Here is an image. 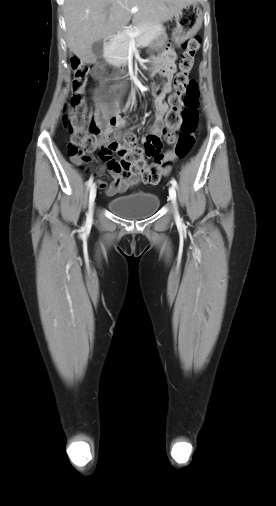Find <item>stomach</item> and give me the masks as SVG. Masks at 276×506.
Returning a JSON list of instances; mask_svg holds the SVG:
<instances>
[{"mask_svg": "<svg viewBox=\"0 0 276 506\" xmlns=\"http://www.w3.org/2000/svg\"><path fill=\"white\" fill-rule=\"evenodd\" d=\"M177 27L173 31V40L177 46H181L188 39L192 38L194 33L201 27L203 14L201 8L192 3L186 5L175 15ZM167 40V35L161 32L149 44L152 50H160Z\"/></svg>", "mask_w": 276, "mask_h": 506, "instance_id": "0dacf381", "label": "stomach"}]
</instances>
